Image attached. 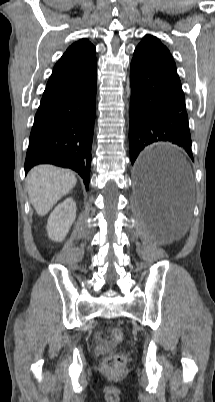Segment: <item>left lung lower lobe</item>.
I'll return each mask as SVG.
<instances>
[{
  "instance_id": "1",
  "label": "left lung lower lobe",
  "mask_w": 215,
  "mask_h": 402,
  "mask_svg": "<svg viewBox=\"0 0 215 402\" xmlns=\"http://www.w3.org/2000/svg\"><path fill=\"white\" fill-rule=\"evenodd\" d=\"M132 96L130 102V160L134 164L148 145L165 142L183 148L193 160L185 97L180 79L132 59L130 68ZM146 182H156L158 189L176 203L177 194L160 181L152 171L138 169Z\"/></svg>"
}]
</instances>
